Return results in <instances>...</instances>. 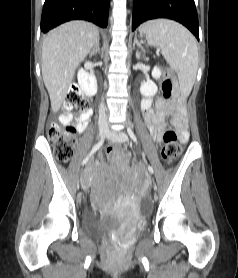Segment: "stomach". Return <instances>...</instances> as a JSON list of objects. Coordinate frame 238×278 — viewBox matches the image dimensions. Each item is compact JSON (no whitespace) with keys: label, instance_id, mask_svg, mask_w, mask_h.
I'll list each match as a JSON object with an SVG mask.
<instances>
[{"label":"stomach","instance_id":"stomach-1","mask_svg":"<svg viewBox=\"0 0 238 278\" xmlns=\"http://www.w3.org/2000/svg\"><path fill=\"white\" fill-rule=\"evenodd\" d=\"M140 32L146 35V32H145V31H143V30H140Z\"/></svg>","mask_w":238,"mask_h":278}]
</instances>
